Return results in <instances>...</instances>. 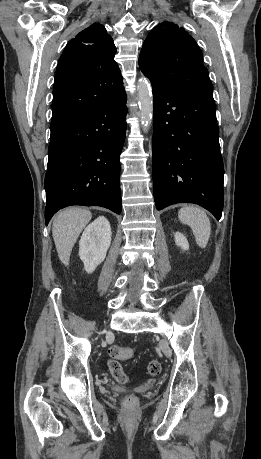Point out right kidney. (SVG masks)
<instances>
[{"label": "right kidney", "instance_id": "1", "mask_svg": "<svg viewBox=\"0 0 261 459\" xmlns=\"http://www.w3.org/2000/svg\"><path fill=\"white\" fill-rule=\"evenodd\" d=\"M111 235L110 223L104 216H99L85 228L79 242V256L87 273H92L104 261Z\"/></svg>", "mask_w": 261, "mask_h": 459}]
</instances>
